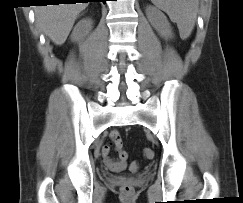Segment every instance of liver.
<instances>
[{
    "label": "liver",
    "mask_w": 243,
    "mask_h": 203,
    "mask_svg": "<svg viewBox=\"0 0 243 203\" xmlns=\"http://www.w3.org/2000/svg\"><path fill=\"white\" fill-rule=\"evenodd\" d=\"M86 7V3L37 6L35 8L36 22L56 45H62L78 15Z\"/></svg>",
    "instance_id": "liver-1"
}]
</instances>
